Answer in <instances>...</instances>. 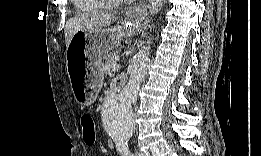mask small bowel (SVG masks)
<instances>
[{
  "instance_id": "1",
  "label": "small bowel",
  "mask_w": 261,
  "mask_h": 156,
  "mask_svg": "<svg viewBox=\"0 0 261 156\" xmlns=\"http://www.w3.org/2000/svg\"><path fill=\"white\" fill-rule=\"evenodd\" d=\"M118 82H123V80H122V79H118V80H117V83H118Z\"/></svg>"
}]
</instances>
